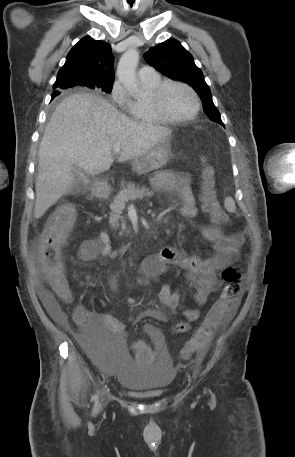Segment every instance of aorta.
<instances>
[{"label": "aorta", "instance_id": "aorta-1", "mask_svg": "<svg viewBox=\"0 0 295 457\" xmlns=\"http://www.w3.org/2000/svg\"><path fill=\"white\" fill-rule=\"evenodd\" d=\"M138 62V50L136 48H130L122 54L116 72L118 80L134 95L139 94V86L136 79V67Z\"/></svg>", "mask_w": 295, "mask_h": 457}]
</instances>
